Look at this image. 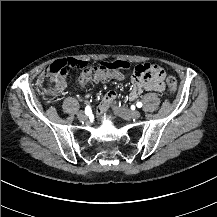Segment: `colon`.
<instances>
[{
  "instance_id": "colon-1",
  "label": "colon",
  "mask_w": 217,
  "mask_h": 217,
  "mask_svg": "<svg viewBox=\"0 0 217 217\" xmlns=\"http://www.w3.org/2000/svg\"><path fill=\"white\" fill-rule=\"evenodd\" d=\"M130 63L126 60H119L115 56L109 57L107 60L95 59L91 63L76 61L73 57L62 58L59 62H53L45 68V73L38 81L39 92L45 97L59 96L65 88V81L62 75H68L74 70L82 71L88 75L89 70L98 72L100 70L119 71L130 69ZM165 74L164 69L156 64H139L134 67V78H146L153 81L161 82ZM169 93L174 94L177 90V81L171 76L167 82Z\"/></svg>"
}]
</instances>
